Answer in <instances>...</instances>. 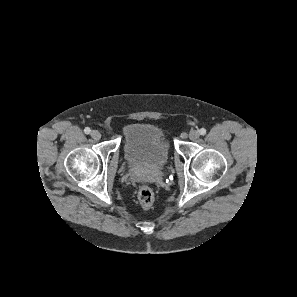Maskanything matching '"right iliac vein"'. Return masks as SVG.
<instances>
[{
	"label": "right iliac vein",
	"mask_w": 297,
	"mask_h": 297,
	"mask_svg": "<svg viewBox=\"0 0 297 297\" xmlns=\"http://www.w3.org/2000/svg\"><path fill=\"white\" fill-rule=\"evenodd\" d=\"M91 137L95 140H99L101 138V133L98 130H93L91 132Z\"/></svg>",
	"instance_id": "1"
}]
</instances>
